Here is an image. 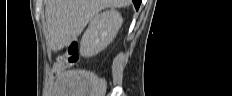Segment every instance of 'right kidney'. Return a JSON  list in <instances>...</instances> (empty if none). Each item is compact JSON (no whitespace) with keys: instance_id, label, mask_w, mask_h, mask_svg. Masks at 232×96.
I'll list each match as a JSON object with an SVG mask.
<instances>
[{"instance_id":"right-kidney-1","label":"right kidney","mask_w":232,"mask_h":96,"mask_svg":"<svg viewBox=\"0 0 232 96\" xmlns=\"http://www.w3.org/2000/svg\"><path fill=\"white\" fill-rule=\"evenodd\" d=\"M123 23L120 13L114 9L97 14L81 39L80 53L92 57L106 48L116 36Z\"/></svg>"}]
</instances>
